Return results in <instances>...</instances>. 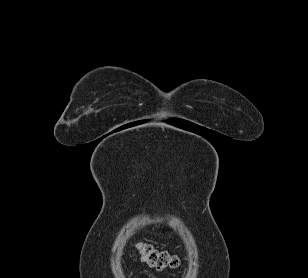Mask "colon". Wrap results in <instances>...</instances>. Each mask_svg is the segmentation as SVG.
Here are the masks:
<instances>
[{
  "instance_id": "obj_1",
  "label": "colon",
  "mask_w": 308,
  "mask_h": 278,
  "mask_svg": "<svg viewBox=\"0 0 308 278\" xmlns=\"http://www.w3.org/2000/svg\"><path fill=\"white\" fill-rule=\"evenodd\" d=\"M137 249L142 260L157 270L175 268L179 264V259L175 255L158 250L150 244L139 243Z\"/></svg>"
}]
</instances>
